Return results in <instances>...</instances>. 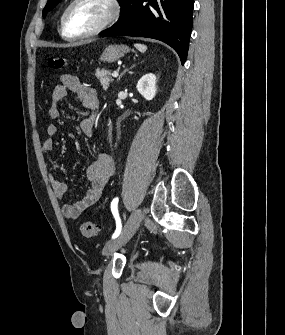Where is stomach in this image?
<instances>
[{"label": "stomach", "mask_w": 285, "mask_h": 335, "mask_svg": "<svg viewBox=\"0 0 285 335\" xmlns=\"http://www.w3.org/2000/svg\"><path fill=\"white\" fill-rule=\"evenodd\" d=\"M129 52L128 46H107L104 52H102V56H100L99 60L101 62H108V64H112V62H117L119 58H122L124 54Z\"/></svg>", "instance_id": "obj_1"}]
</instances>
